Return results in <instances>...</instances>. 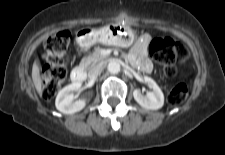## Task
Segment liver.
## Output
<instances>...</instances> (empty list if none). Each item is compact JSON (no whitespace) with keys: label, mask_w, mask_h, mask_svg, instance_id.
Segmentation results:
<instances>
[{"label":"liver","mask_w":225,"mask_h":155,"mask_svg":"<svg viewBox=\"0 0 225 155\" xmlns=\"http://www.w3.org/2000/svg\"><path fill=\"white\" fill-rule=\"evenodd\" d=\"M32 80H33V83L35 85L37 92L41 95L42 94V80H41V76H40V69H39V66L36 61L33 63V66H32Z\"/></svg>","instance_id":"1"}]
</instances>
